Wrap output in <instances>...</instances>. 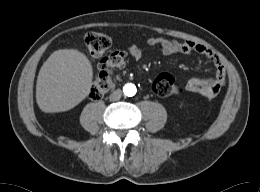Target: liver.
Listing matches in <instances>:
<instances>
[{"label": "liver", "instance_id": "1", "mask_svg": "<svg viewBox=\"0 0 260 192\" xmlns=\"http://www.w3.org/2000/svg\"><path fill=\"white\" fill-rule=\"evenodd\" d=\"M93 68L77 49L53 52L42 65L36 83V101L47 113L68 111L89 94Z\"/></svg>", "mask_w": 260, "mask_h": 192}]
</instances>
